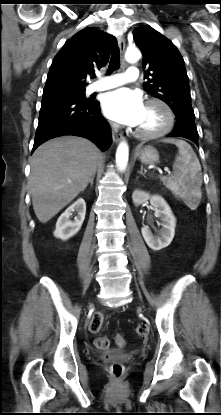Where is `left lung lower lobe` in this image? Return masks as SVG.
<instances>
[{
  "mask_svg": "<svg viewBox=\"0 0 221 415\" xmlns=\"http://www.w3.org/2000/svg\"><path fill=\"white\" fill-rule=\"evenodd\" d=\"M168 137H184L198 145V132L195 126V115L184 114L176 117L174 130Z\"/></svg>",
  "mask_w": 221,
  "mask_h": 415,
  "instance_id": "obj_1",
  "label": "left lung lower lobe"
}]
</instances>
